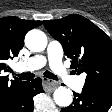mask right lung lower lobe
I'll list each match as a JSON object with an SVG mask.
<instances>
[{"mask_svg":"<svg viewBox=\"0 0 112 112\" xmlns=\"http://www.w3.org/2000/svg\"><path fill=\"white\" fill-rule=\"evenodd\" d=\"M41 92H44V90L40 78L30 82H22L17 86L7 105L0 112H33V97Z\"/></svg>","mask_w":112,"mask_h":112,"instance_id":"right-lung-lower-lobe-1","label":"right lung lower lobe"}]
</instances>
